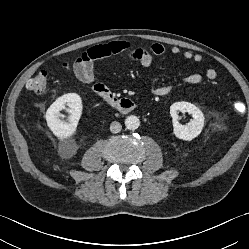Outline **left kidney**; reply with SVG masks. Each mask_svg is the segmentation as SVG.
<instances>
[{"instance_id": "left-kidney-1", "label": "left kidney", "mask_w": 249, "mask_h": 249, "mask_svg": "<svg viewBox=\"0 0 249 249\" xmlns=\"http://www.w3.org/2000/svg\"><path fill=\"white\" fill-rule=\"evenodd\" d=\"M179 112H188L193 119L187 125H182L178 121ZM170 114L173 119V133L177 138L191 141L201 133L205 118L202 111L195 105L184 101L175 102L170 106Z\"/></svg>"}]
</instances>
